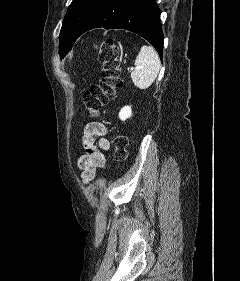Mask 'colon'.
<instances>
[{
    "label": "colon",
    "instance_id": "1",
    "mask_svg": "<svg viewBox=\"0 0 240 281\" xmlns=\"http://www.w3.org/2000/svg\"><path fill=\"white\" fill-rule=\"evenodd\" d=\"M98 56L101 64L102 79L92 85L83 96L87 111L98 117L103 107L110 101L115 91L122 86L121 68L118 58V47L112 38L104 39L98 47ZM114 160L121 163L127 158L128 140L122 134L113 138Z\"/></svg>",
    "mask_w": 240,
    "mask_h": 281
}]
</instances>
